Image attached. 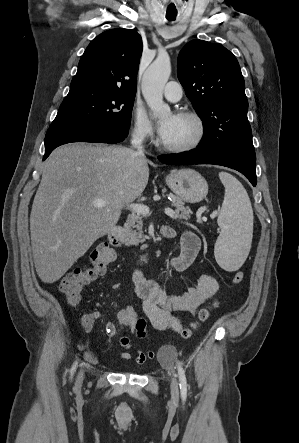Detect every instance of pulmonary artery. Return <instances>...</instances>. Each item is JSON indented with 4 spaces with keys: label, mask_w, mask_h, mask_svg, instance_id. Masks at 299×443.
Wrapping results in <instances>:
<instances>
[{
    "label": "pulmonary artery",
    "mask_w": 299,
    "mask_h": 443,
    "mask_svg": "<svg viewBox=\"0 0 299 443\" xmlns=\"http://www.w3.org/2000/svg\"><path fill=\"white\" fill-rule=\"evenodd\" d=\"M164 96L167 100L176 102L182 97V87L178 82L170 81L164 87Z\"/></svg>",
    "instance_id": "pulmonary-artery-1"
}]
</instances>
